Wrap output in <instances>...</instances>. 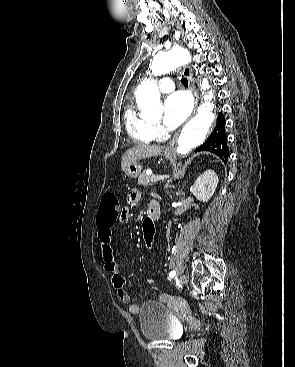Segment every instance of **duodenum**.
I'll use <instances>...</instances> for the list:
<instances>
[{
  "mask_svg": "<svg viewBox=\"0 0 295 367\" xmlns=\"http://www.w3.org/2000/svg\"><path fill=\"white\" fill-rule=\"evenodd\" d=\"M160 213V204L157 201H152L147 210L148 219H153V221H156L160 217Z\"/></svg>",
  "mask_w": 295,
  "mask_h": 367,
  "instance_id": "1",
  "label": "duodenum"
}]
</instances>
